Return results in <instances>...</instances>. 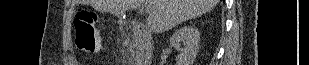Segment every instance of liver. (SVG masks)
Here are the masks:
<instances>
[{"label":"liver","mask_w":309,"mask_h":65,"mask_svg":"<svg viewBox=\"0 0 309 65\" xmlns=\"http://www.w3.org/2000/svg\"><path fill=\"white\" fill-rule=\"evenodd\" d=\"M148 2L147 24L152 31L162 33L192 18L210 11L218 0H92V6L102 12L122 16L129 9H138Z\"/></svg>","instance_id":"obj_1"}]
</instances>
